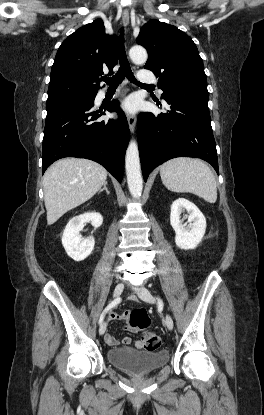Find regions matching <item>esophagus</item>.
I'll return each mask as SVG.
<instances>
[{
	"label": "esophagus",
	"mask_w": 264,
	"mask_h": 415,
	"mask_svg": "<svg viewBox=\"0 0 264 415\" xmlns=\"http://www.w3.org/2000/svg\"><path fill=\"white\" fill-rule=\"evenodd\" d=\"M122 22H123L124 26H128V24H129V13H128V11H123V13H122ZM127 120H128V125H129V129H130L131 133H134L135 127H136V121H137L136 116L128 114L127 115Z\"/></svg>",
	"instance_id": "esophagus-1"
}]
</instances>
